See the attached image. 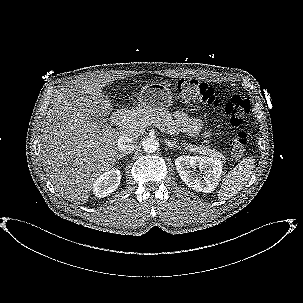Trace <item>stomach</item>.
Returning a JSON list of instances; mask_svg holds the SVG:
<instances>
[{
    "label": "stomach",
    "mask_w": 303,
    "mask_h": 303,
    "mask_svg": "<svg viewBox=\"0 0 303 303\" xmlns=\"http://www.w3.org/2000/svg\"><path fill=\"white\" fill-rule=\"evenodd\" d=\"M172 102V92L168 85L162 82L145 84L138 93L137 105L142 110H165Z\"/></svg>",
    "instance_id": "stomach-1"
}]
</instances>
